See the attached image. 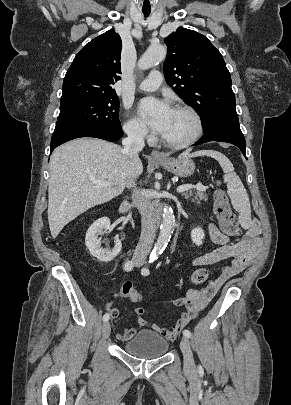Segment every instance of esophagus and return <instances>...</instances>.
I'll list each match as a JSON object with an SVG mask.
<instances>
[{
    "label": "esophagus",
    "mask_w": 291,
    "mask_h": 405,
    "mask_svg": "<svg viewBox=\"0 0 291 405\" xmlns=\"http://www.w3.org/2000/svg\"><path fill=\"white\" fill-rule=\"evenodd\" d=\"M151 158L155 159V160H159V159H163L164 155L162 153H160L159 151L154 150L151 152Z\"/></svg>",
    "instance_id": "obj_1"
}]
</instances>
